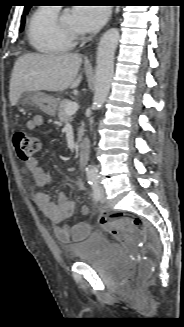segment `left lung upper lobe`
Masks as SVG:
<instances>
[{
  "mask_svg": "<svg viewBox=\"0 0 184 327\" xmlns=\"http://www.w3.org/2000/svg\"><path fill=\"white\" fill-rule=\"evenodd\" d=\"M29 9H30V6H25V9H24L25 13H27Z\"/></svg>",
  "mask_w": 184,
  "mask_h": 327,
  "instance_id": "1",
  "label": "left lung upper lobe"
}]
</instances>
